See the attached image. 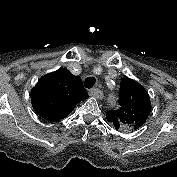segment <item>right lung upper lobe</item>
I'll return each instance as SVG.
<instances>
[{"mask_svg":"<svg viewBox=\"0 0 177 177\" xmlns=\"http://www.w3.org/2000/svg\"><path fill=\"white\" fill-rule=\"evenodd\" d=\"M87 98L81 78L65 68L43 76L31 92L33 109L48 121L67 117L79 102Z\"/></svg>","mask_w":177,"mask_h":177,"instance_id":"right-lung-upper-lobe-1","label":"right lung upper lobe"}]
</instances>
